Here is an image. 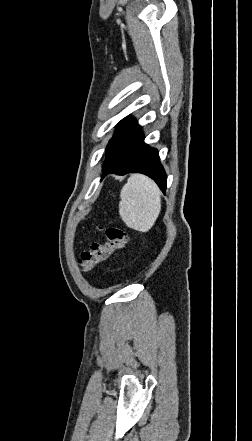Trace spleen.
<instances>
[{
  "mask_svg": "<svg viewBox=\"0 0 252 441\" xmlns=\"http://www.w3.org/2000/svg\"><path fill=\"white\" fill-rule=\"evenodd\" d=\"M120 198L119 214L124 223L140 232L150 230L161 210L156 183L145 175L134 174L123 186Z\"/></svg>",
  "mask_w": 252,
  "mask_h": 441,
  "instance_id": "1",
  "label": "spleen"
}]
</instances>
